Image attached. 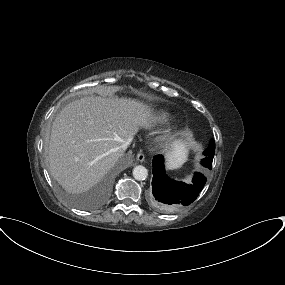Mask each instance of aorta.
I'll list each match as a JSON object with an SVG mask.
<instances>
[{
    "label": "aorta",
    "mask_w": 285,
    "mask_h": 285,
    "mask_svg": "<svg viewBox=\"0 0 285 285\" xmlns=\"http://www.w3.org/2000/svg\"><path fill=\"white\" fill-rule=\"evenodd\" d=\"M148 176V170L142 166V165H138L135 166L133 169V177L138 180V181H142L145 180Z\"/></svg>",
    "instance_id": "762f6f07"
}]
</instances>
